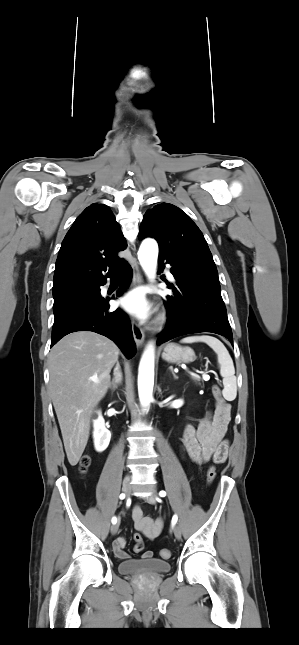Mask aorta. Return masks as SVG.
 Instances as JSON below:
<instances>
[{"mask_svg":"<svg viewBox=\"0 0 299 645\" xmlns=\"http://www.w3.org/2000/svg\"><path fill=\"white\" fill-rule=\"evenodd\" d=\"M138 259L147 277L153 281L156 274L158 245L153 239L142 242ZM154 385V346L149 345L142 355L138 374V393L143 406H148L152 401Z\"/></svg>","mask_w":299,"mask_h":645,"instance_id":"762f6f07","label":"aorta"}]
</instances>
